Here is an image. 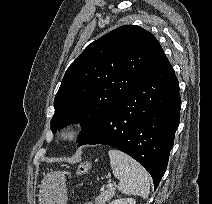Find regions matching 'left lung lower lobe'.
<instances>
[{"label":"left lung lower lobe","instance_id":"0a47b994","mask_svg":"<svg viewBox=\"0 0 212 204\" xmlns=\"http://www.w3.org/2000/svg\"><path fill=\"white\" fill-rule=\"evenodd\" d=\"M180 108L178 80L165 58L78 146L104 144L125 152L151 174L156 189L167 168Z\"/></svg>","mask_w":212,"mask_h":204}]
</instances>
